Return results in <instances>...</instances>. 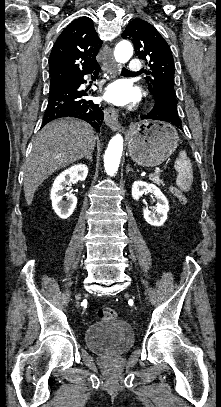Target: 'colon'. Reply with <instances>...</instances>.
Masks as SVG:
<instances>
[{"label":"colon","instance_id":"colon-1","mask_svg":"<svg viewBox=\"0 0 221 407\" xmlns=\"http://www.w3.org/2000/svg\"><path fill=\"white\" fill-rule=\"evenodd\" d=\"M172 193L182 202L186 201L185 196L175 187L171 188ZM97 315L101 320H114L116 317V312L111 308H100L97 311Z\"/></svg>","mask_w":221,"mask_h":407}]
</instances>
